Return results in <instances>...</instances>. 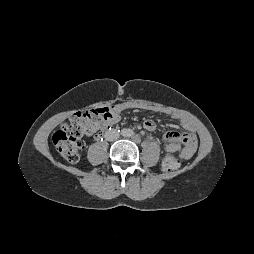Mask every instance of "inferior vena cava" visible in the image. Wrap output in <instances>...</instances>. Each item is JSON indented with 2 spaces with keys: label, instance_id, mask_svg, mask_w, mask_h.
<instances>
[{
  "label": "inferior vena cava",
  "instance_id": "obj_1",
  "mask_svg": "<svg viewBox=\"0 0 254 254\" xmlns=\"http://www.w3.org/2000/svg\"><path fill=\"white\" fill-rule=\"evenodd\" d=\"M120 134L116 129L107 130L104 137L107 141H115L119 138Z\"/></svg>",
  "mask_w": 254,
  "mask_h": 254
}]
</instances>
